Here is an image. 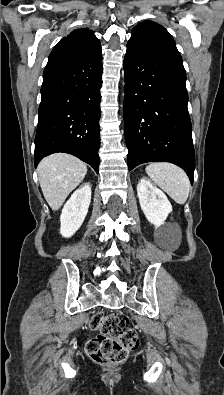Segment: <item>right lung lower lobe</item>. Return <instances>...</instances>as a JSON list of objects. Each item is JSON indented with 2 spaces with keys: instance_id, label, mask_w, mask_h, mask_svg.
Instances as JSON below:
<instances>
[{
  "instance_id": "98d812e1",
  "label": "right lung lower lobe",
  "mask_w": 224,
  "mask_h": 395,
  "mask_svg": "<svg viewBox=\"0 0 224 395\" xmlns=\"http://www.w3.org/2000/svg\"><path fill=\"white\" fill-rule=\"evenodd\" d=\"M102 54L88 55L72 39L53 49L43 74L35 137V167L52 153L72 154L98 173Z\"/></svg>"
}]
</instances>
